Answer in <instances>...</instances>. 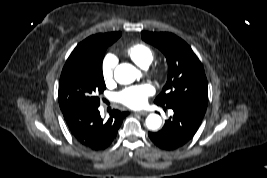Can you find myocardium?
<instances>
[{
  "label": "myocardium",
  "mask_w": 267,
  "mask_h": 178,
  "mask_svg": "<svg viewBox=\"0 0 267 178\" xmlns=\"http://www.w3.org/2000/svg\"><path fill=\"white\" fill-rule=\"evenodd\" d=\"M153 74L156 75V76H159L162 74V69L160 67H155L153 69Z\"/></svg>",
  "instance_id": "myocardium-1"
}]
</instances>
